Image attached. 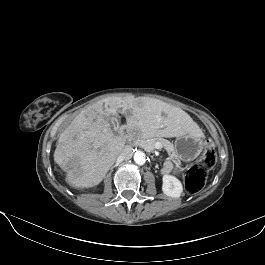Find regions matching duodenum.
<instances>
[{
	"mask_svg": "<svg viewBox=\"0 0 265 265\" xmlns=\"http://www.w3.org/2000/svg\"><path fill=\"white\" fill-rule=\"evenodd\" d=\"M120 135H121L122 137H125V136H126V131L122 130V131L120 132Z\"/></svg>",
	"mask_w": 265,
	"mask_h": 265,
	"instance_id": "410a0bca",
	"label": "duodenum"
}]
</instances>
